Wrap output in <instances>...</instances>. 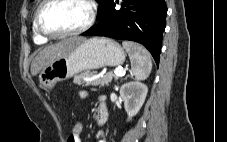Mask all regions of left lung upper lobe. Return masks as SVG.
<instances>
[{
    "instance_id": "1",
    "label": "left lung upper lobe",
    "mask_w": 227,
    "mask_h": 142,
    "mask_svg": "<svg viewBox=\"0 0 227 142\" xmlns=\"http://www.w3.org/2000/svg\"><path fill=\"white\" fill-rule=\"evenodd\" d=\"M96 1L101 5V9L97 12V17H100L102 10L107 6L110 0H96Z\"/></svg>"
}]
</instances>
